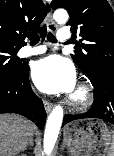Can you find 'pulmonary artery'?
Here are the masks:
<instances>
[{"mask_svg":"<svg viewBox=\"0 0 114 156\" xmlns=\"http://www.w3.org/2000/svg\"><path fill=\"white\" fill-rule=\"evenodd\" d=\"M70 31L67 28H62L58 32V39L62 42H66L70 39ZM46 52V48L44 46H36V47H31V46H26L21 49L20 55L22 57H30V56H36L40 55Z\"/></svg>","mask_w":114,"mask_h":156,"instance_id":"e3ab8cb5","label":"pulmonary artery"}]
</instances>
